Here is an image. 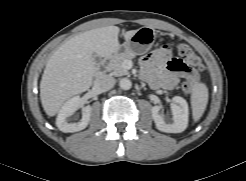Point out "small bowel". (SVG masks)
Returning <instances> with one entry per match:
<instances>
[{
  "instance_id": "1",
  "label": "small bowel",
  "mask_w": 246,
  "mask_h": 181,
  "mask_svg": "<svg viewBox=\"0 0 246 181\" xmlns=\"http://www.w3.org/2000/svg\"><path fill=\"white\" fill-rule=\"evenodd\" d=\"M141 65L143 75L153 87L172 89L188 74L186 64L173 57L167 47L142 57Z\"/></svg>"
}]
</instances>
